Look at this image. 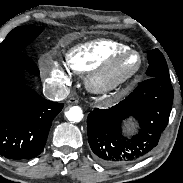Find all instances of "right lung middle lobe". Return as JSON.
<instances>
[{
  "mask_svg": "<svg viewBox=\"0 0 183 183\" xmlns=\"http://www.w3.org/2000/svg\"><path fill=\"white\" fill-rule=\"evenodd\" d=\"M42 26L27 25L14 28L0 44V60L23 52L41 32Z\"/></svg>",
  "mask_w": 183,
  "mask_h": 183,
  "instance_id": "obj_1",
  "label": "right lung middle lobe"
}]
</instances>
